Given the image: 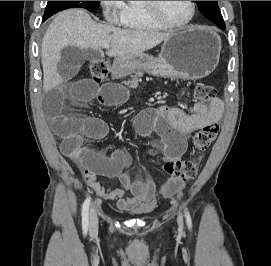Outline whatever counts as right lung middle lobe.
Masks as SVG:
<instances>
[{"mask_svg": "<svg viewBox=\"0 0 271 266\" xmlns=\"http://www.w3.org/2000/svg\"><path fill=\"white\" fill-rule=\"evenodd\" d=\"M99 7V1H48L43 21L53 14L68 8H84L90 12H96Z\"/></svg>", "mask_w": 271, "mask_h": 266, "instance_id": "right-lung-middle-lobe-1", "label": "right lung middle lobe"}]
</instances>
